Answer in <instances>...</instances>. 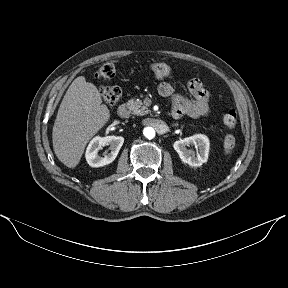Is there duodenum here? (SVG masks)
Here are the masks:
<instances>
[{
	"label": "duodenum",
	"instance_id": "duodenum-1",
	"mask_svg": "<svg viewBox=\"0 0 288 288\" xmlns=\"http://www.w3.org/2000/svg\"><path fill=\"white\" fill-rule=\"evenodd\" d=\"M117 112L120 117L127 118L130 115V107L127 104H121Z\"/></svg>",
	"mask_w": 288,
	"mask_h": 288
}]
</instances>
